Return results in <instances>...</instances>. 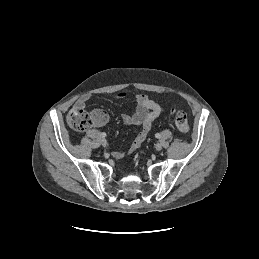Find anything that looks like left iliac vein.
<instances>
[{
	"label": "left iliac vein",
	"instance_id": "left-iliac-vein-1",
	"mask_svg": "<svg viewBox=\"0 0 259 259\" xmlns=\"http://www.w3.org/2000/svg\"><path fill=\"white\" fill-rule=\"evenodd\" d=\"M155 148H156L157 151H160L162 149V145L160 143H157L155 145Z\"/></svg>",
	"mask_w": 259,
	"mask_h": 259
}]
</instances>
